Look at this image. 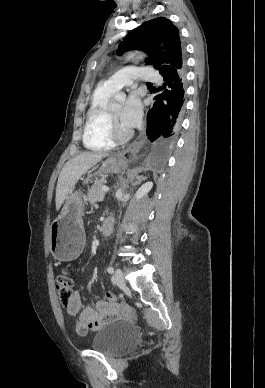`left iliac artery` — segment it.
I'll use <instances>...</instances> for the list:
<instances>
[{"label": "left iliac artery", "instance_id": "44dca946", "mask_svg": "<svg viewBox=\"0 0 265 388\" xmlns=\"http://www.w3.org/2000/svg\"><path fill=\"white\" fill-rule=\"evenodd\" d=\"M107 271H108V273L113 274L114 273V268L112 266H109L107 268Z\"/></svg>", "mask_w": 265, "mask_h": 388}]
</instances>
